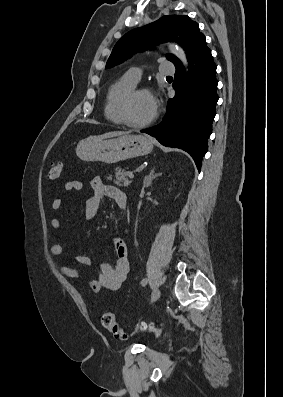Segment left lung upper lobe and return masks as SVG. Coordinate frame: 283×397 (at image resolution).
<instances>
[{
    "instance_id": "1",
    "label": "left lung upper lobe",
    "mask_w": 283,
    "mask_h": 397,
    "mask_svg": "<svg viewBox=\"0 0 283 397\" xmlns=\"http://www.w3.org/2000/svg\"><path fill=\"white\" fill-rule=\"evenodd\" d=\"M167 41L179 43L187 57L206 44L205 36L199 32V25L188 16H163L151 24L125 34L114 46L106 68L122 63L136 51L149 49L159 42ZM167 59L175 66L181 63L172 54L168 55Z\"/></svg>"
}]
</instances>
